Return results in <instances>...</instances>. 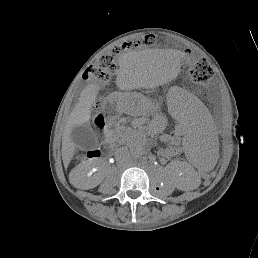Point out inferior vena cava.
I'll list each match as a JSON object with an SVG mask.
<instances>
[{
    "mask_svg": "<svg viewBox=\"0 0 258 258\" xmlns=\"http://www.w3.org/2000/svg\"><path fill=\"white\" fill-rule=\"evenodd\" d=\"M128 155L125 149H118L116 152V157L118 162L123 163L125 161L126 156Z\"/></svg>",
    "mask_w": 258,
    "mask_h": 258,
    "instance_id": "inferior-vena-cava-1",
    "label": "inferior vena cava"
}]
</instances>
